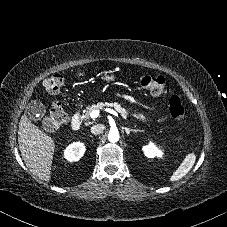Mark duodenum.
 <instances>
[{"instance_id":"obj_1","label":"duodenum","mask_w":227,"mask_h":227,"mask_svg":"<svg viewBox=\"0 0 227 227\" xmlns=\"http://www.w3.org/2000/svg\"><path fill=\"white\" fill-rule=\"evenodd\" d=\"M82 127V114L80 111H76L71 120V128L73 131H79Z\"/></svg>"}]
</instances>
